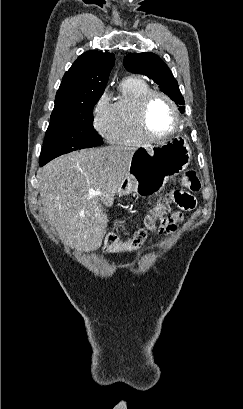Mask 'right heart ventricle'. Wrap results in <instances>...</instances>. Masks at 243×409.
Masks as SVG:
<instances>
[{
  "label": "right heart ventricle",
  "instance_id": "obj_1",
  "mask_svg": "<svg viewBox=\"0 0 243 409\" xmlns=\"http://www.w3.org/2000/svg\"><path fill=\"white\" fill-rule=\"evenodd\" d=\"M151 91L149 84L135 77H127L119 86V95L112 103V124L109 141L119 145L138 146L149 143L137 118L141 98Z\"/></svg>",
  "mask_w": 243,
  "mask_h": 409
}]
</instances>
